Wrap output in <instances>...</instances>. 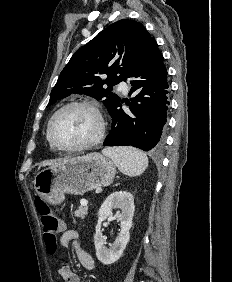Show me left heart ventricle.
Returning <instances> with one entry per match:
<instances>
[{"label": "left heart ventricle", "mask_w": 232, "mask_h": 282, "mask_svg": "<svg viewBox=\"0 0 232 282\" xmlns=\"http://www.w3.org/2000/svg\"><path fill=\"white\" fill-rule=\"evenodd\" d=\"M99 122L93 111L85 107H71L54 121L53 136L64 146H75L93 139Z\"/></svg>", "instance_id": "left-heart-ventricle-1"}]
</instances>
